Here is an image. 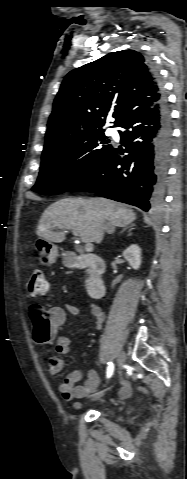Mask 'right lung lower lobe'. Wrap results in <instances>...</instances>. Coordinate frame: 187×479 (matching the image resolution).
Here are the masks:
<instances>
[{
  "mask_svg": "<svg viewBox=\"0 0 187 479\" xmlns=\"http://www.w3.org/2000/svg\"><path fill=\"white\" fill-rule=\"evenodd\" d=\"M150 65V63H149ZM161 99L151 108L136 110L119 126L126 156L112 148L72 192H95L144 211L158 209L166 184L172 140L170 110L158 74ZM129 129V130H128Z\"/></svg>",
  "mask_w": 187,
  "mask_h": 479,
  "instance_id": "obj_1",
  "label": "right lung lower lobe"
}]
</instances>
